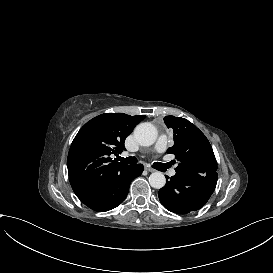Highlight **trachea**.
I'll return each mask as SVG.
<instances>
[{"mask_svg":"<svg viewBox=\"0 0 273 273\" xmlns=\"http://www.w3.org/2000/svg\"><path fill=\"white\" fill-rule=\"evenodd\" d=\"M119 161L123 162V163H126V164H130V165H134L137 163V159L135 157H128V158H123V157H118L117 158ZM160 165L159 163H155L153 165V168L157 169V170H160Z\"/></svg>","mask_w":273,"mask_h":273,"instance_id":"1","label":"trachea"}]
</instances>
